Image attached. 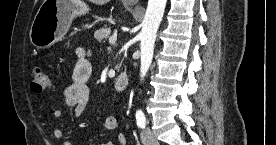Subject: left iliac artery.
Returning a JSON list of instances; mask_svg holds the SVG:
<instances>
[{"mask_svg":"<svg viewBox=\"0 0 276 145\" xmlns=\"http://www.w3.org/2000/svg\"><path fill=\"white\" fill-rule=\"evenodd\" d=\"M136 123L139 128H145L147 124L146 117L141 110L136 111Z\"/></svg>","mask_w":276,"mask_h":145,"instance_id":"left-iliac-artery-1","label":"left iliac artery"}]
</instances>
